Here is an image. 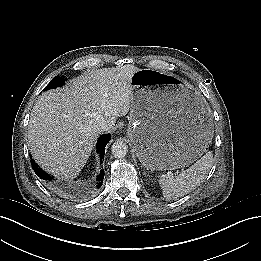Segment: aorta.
Here are the masks:
<instances>
[{
    "label": "aorta",
    "instance_id": "obj_1",
    "mask_svg": "<svg viewBox=\"0 0 261 261\" xmlns=\"http://www.w3.org/2000/svg\"><path fill=\"white\" fill-rule=\"evenodd\" d=\"M111 151L115 158H123L128 152V146L125 142L117 140L111 146Z\"/></svg>",
    "mask_w": 261,
    "mask_h": 261
}]
</instances>
